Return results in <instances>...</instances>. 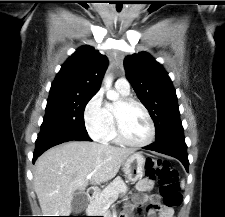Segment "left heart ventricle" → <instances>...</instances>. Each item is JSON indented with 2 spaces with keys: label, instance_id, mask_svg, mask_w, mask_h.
Returning a JSON list of instances; mask_svg holds the SVG:
<instances>
[{
  "label": "left heart ventricle",
  "instance_id": "b2bd125f",
  "mask_svg": "<svg viewBox=\"0 0 225 217\" xmlns=\"http://www.w3.org/2000/svg\"><path fill=\"white\" fill-rule=\"evenodd\" d=\"M116 106L120 109L122 128L127 139L135 143L147 140L150 129L144 112L135 105L122 107L118 103Z\"/></svg>",
  "mask_w": 225,
  "mask_h": 217
}]
</instances>
